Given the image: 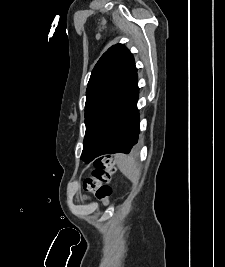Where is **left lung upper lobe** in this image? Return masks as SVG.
Segmentation results:
<instances>
[{
  "label": "left lung upper lobe",
  "mask_w": 225,
  "mask_h": 267,
  "mask_svg": "<svg viewBox=\"0 0 225 267\" xmlns=\"http://www.w3.org/2000/svg\"><path fill=\"white\" fill-rule=\"evenodd\" d=\"M136 72L133 55L123 44L111 46L95 65L86 91V133L81 155L86 163L98 156L106 142Z\"/></svg>",
  "instance_id": "left-lung-upper-lobe-1"
}]
</instances>
